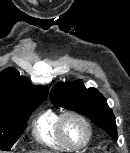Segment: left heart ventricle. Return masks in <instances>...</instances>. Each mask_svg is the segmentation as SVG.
I'll list each match as a JSON object with an SVG mask.
<instances>
[{"instance_id": "1", "label": "left heart ventricle", "mask_w": 130, "mask_h": 153, "mask_svg": "<svg viewBox=\"0 0 130 153\" xmlns=\"http://www.w3.org/2000/svg\"><path fill=\"white\" fill-rule=\"evenodd\" d=\"M64 134L74 145H81L87 137V131L81 121L74 117H68L64 122Z\"/></svg>"}]
</instances>
